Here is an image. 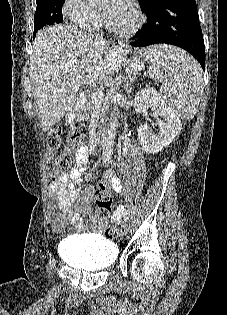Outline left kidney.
I'll return each instance as SVG.
<instances>
[{
  "label": "left kidney",
  "instance_id": "5707ae66",
  "mask_svg": "<svg viewBox=\"0 0 227 315\" xmlns=\"http://www.w3.org/2000/svg\"><path fill=\"white\" fill-rule=\"evenodd\" d=\"M137 113L146 115L151 108L155 115L162 117L158 121L159 132L155 134L146 124L138 129L140 144L145 152L155 154L167 147L181 131L182 124L175 111L165 102L154 88L141 89L134 98Z\"/></svg>",
  "mask_w": 227,
  "mask_h": 315
}]
</instances>
